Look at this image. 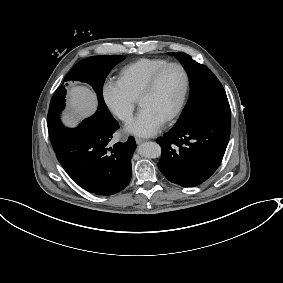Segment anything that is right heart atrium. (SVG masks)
<instances>
[{"mask_svg":"<svg viewBox=\"0 0 283 283\" xmlns=\"http://www.w3.org/2000/svg\"><path fill=\"white\" fill-rule=\"evenodd\" d=\"M101 93L106 106L117 119L125 123L131 119L136 101L130 97L118 79H107L102 85Z\"/></svg>","mask_w":283,"mask_h":283,"instance_id":"obj_1","label":"right heart atrium"}]
</instances>
